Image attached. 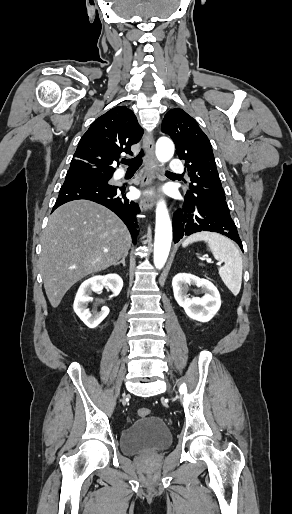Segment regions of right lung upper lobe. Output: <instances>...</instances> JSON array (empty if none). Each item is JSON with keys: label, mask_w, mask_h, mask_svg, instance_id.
Listing matches in <instances>:
<instances>
[{"label": "right lung upper lobe", "mask_w": 292, "mask_h": 514, "mask_svg": "<svg viewBox=\"0 0 292 514\" xmlns=\"http://www.w3.org/2000/svg\"><path fill=\"white\" fill-rule=\"evenodd\" d=\"M142 134L132 110L125 106L109 110L81 137L67 173L113 174L112 164L122 152L132 155L130 147L139 142Z\"/></svg>", "instance_id": "1"}]
</instances>
